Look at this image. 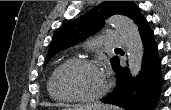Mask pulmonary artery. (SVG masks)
<instances>
[{
	"label": "pulmonary artery",
	"instance_id": "obj_1",
	"mask_svg": "<svg viewBox=\"0 0 171 110\" xmlns=\"http://www.w3.org/2000/svg\"><path fill=\"white\" fill-rule=\"evenodd\" d=\"M125 44V39L116 32H110L104 35L103 38H100L94 42H88L87 46H110V47H120Z\"/></svg>",
	"mask_w": 171,
	"mask_h": 110
}]
</instances>
